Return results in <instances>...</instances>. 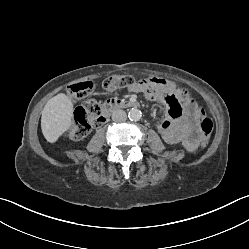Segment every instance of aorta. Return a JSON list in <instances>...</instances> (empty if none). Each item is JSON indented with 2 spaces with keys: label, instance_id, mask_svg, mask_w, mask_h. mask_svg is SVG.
<instances>
[{
  "label": "aorta",
  "instance_id": "1",
  "mask_svg": "<svg viewBox=\"0 0 249 249\" xmlns=\"http://www.w3.org/2000/svg\"><path fill=\"white\" fill-rule=\"evenodd\" d=\"M141 111L137 108H132L128 112V117L131 121H139L141 119Z\"/></svg>",
  "mask_w": 249,
  "mask_h": 249
}]
</instances>
